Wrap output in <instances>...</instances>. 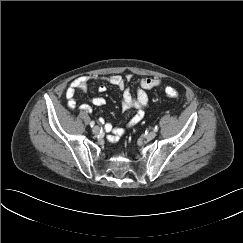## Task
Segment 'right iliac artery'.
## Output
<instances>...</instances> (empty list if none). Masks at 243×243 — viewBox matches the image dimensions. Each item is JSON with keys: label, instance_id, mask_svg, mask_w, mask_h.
Returning a JSON list of instances; mask_svg holds the SVG:
<instances>
[{"label": "right iliac artery", "instance_id": "1", "mask_svg": "<svg viewBox=\"0 0 243 243\" xmlns=\"http://www.w3.org/2000/svg\"><path fill=\"white\" fill-rule=\"evenodd\" d=\"M95 125V122L94 121H91L90 122V126L93 127Z\"/></svg>", "mask_w": 243, "mask_h": 243}]
</instances>
